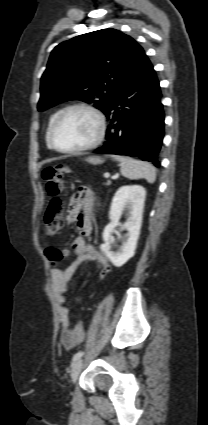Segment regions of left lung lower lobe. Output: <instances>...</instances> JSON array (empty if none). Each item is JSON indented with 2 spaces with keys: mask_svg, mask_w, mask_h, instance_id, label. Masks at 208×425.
Here are the masks:
<instances>
[{
  "mask_svg": "<svg viewBox=\"0 0 208 425\" xmlns=\"http://www.w3.org/2000/svg\"><path fill=\"white\" fill-rule=\"evenodd\" d=\"M161 99L159 81L146 57L104 111L106 141L94 153L139 157L160 167L158 154L164 137Z\"/></svg>",
  "mask_w": 208,
  "mask_h": 425,
  "instance_id": "left-lung-lower-lobe-1",
  "label": "left lung lower lobe"
}]
</instances>
